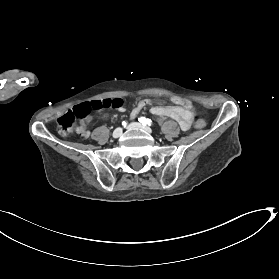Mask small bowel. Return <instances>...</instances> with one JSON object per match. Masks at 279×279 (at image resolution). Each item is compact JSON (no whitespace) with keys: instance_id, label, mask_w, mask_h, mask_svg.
I'll return each instance as SVG.
<instances>
[{"instance_id":"1","label":"small bowel","mask_w":279,"mask_h":279,"mask_svg":"<svg viewBox=\"0 0 279 279\" xmlns=\"http://www.w3.org/2000/svg\"><path fill=\"white\" fill-rule=\"evenodd\" d=\"M172 102L174 103L173 106H162V105L153 106L151 108V113L160 117H170L178 122L180 128L183 131L189 130L192 124V114L181 105L178 97H174L172 99ZM152 103L153 101L151 99H143L139 101L131 111L130 114L131 119H135L138 113L144 107L151 105ZM117 110L119 112H124L125 108L123 106H120L117 108ZM90 121L91 118L88 116L81 122V126L78 128V133L81 136L83 137L89 136L90 133L87 129V126Z\"/></svg>"}]
</instances>
